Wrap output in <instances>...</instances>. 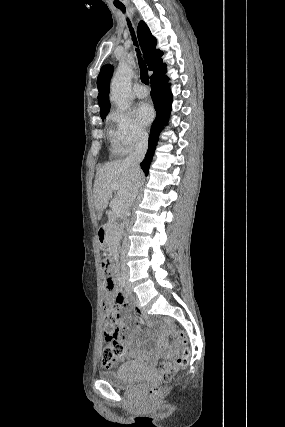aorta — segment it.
Instances as JSON below:
<instances>
[{"label": "aorta", "mask_w": 285, "mask_h": 427, "mask_svg": "<svg viewBox=\"0 0 285 427\" xmlns=\"http://www.w3.org/2000/svg\"><path fill=\"white\" fill-rule=\"evenodd\" d=\"M132 69L121 63L111 83V100L121 111L129 108V95L131 90Z\"/></svg>", "instance_id": "obj_1"}]
</instances>
